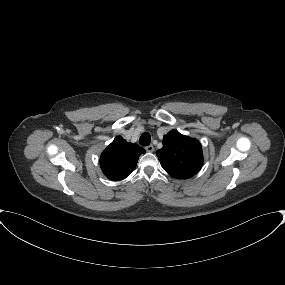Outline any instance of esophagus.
<instances>
[{
  "label": "esophagus",
  "mask_w": 285,
  "mask_h": 285,
  "mask_svg": "<svg viewBox=\"0 0 285 285\" xmlns=\"http://www.w3.org/2000/svg\"><path fill=\"white\" fill-rule=\"evenodd\" d=\"M147 152H153L154 151V146L153 145H148L145 147Z\"/></svg>",
  "instance_id": "1"
}]
</instances>
